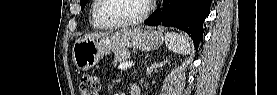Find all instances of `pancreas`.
Here are the masks:
<instances>
[{"label": "pancreas", "mask_w": 277, "mask_h": 95, "mask_svg": "<svg viewBox=\"0 0 277 95\" xmlns=\"http://www.w3.org/2000/svg\"><path fill=\"white\" fill-rule=\"evenodd\" d=\"M130 58V52L128 50H118L114 54V65L127 62Z\"/></svg>", "instance_id": "cf45deb5"}]
</instances>
